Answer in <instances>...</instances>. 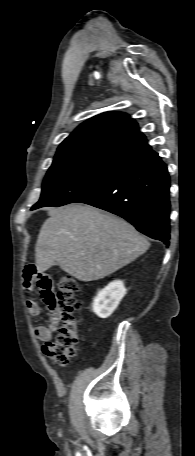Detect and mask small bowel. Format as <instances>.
<instances>
[{
  "label": "small bowel",
  "instance_id": "obj_1",
  "mask_svg": "<svg viewBox=\"0 0 195 456\" xmlns=\"http://www.w3.org/2000/svg\"><path fill=\"white\" fill-rule=\"evenodd\" d=\"M34 284L37 285L41 297L51 315L49 326H37L35 328V335L39 340L47 342L50 341L53 336V331L58 319L56 295L53 290L51 277L46 273L38 271L34 264H29L25 267L23 272V285L26 290L30 291ZM26 305L30 315L39 316L41 314V307L35 300L28 299Z\"/></svg>",
  "mask_w": 195,
  "mask_h": 456
}]
</instances>
